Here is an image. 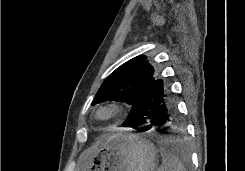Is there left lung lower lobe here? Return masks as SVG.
<instances>
[{"label":"left lung lower lobe","mask_w":245,"mask_h":171,"mask_svg":"<svg viewBox=\"0 0 245 171\" xmlns=\"http://www.w3.org/2000/svg\"><path fill=\"white\" fill-rule=\"evenodd\" d=\"M179 115L176 104L162 79H156L140 94L137 103L123 123L138 132L157 126L164 129L177 125Z\"/></svg>","instance_id":"1"}]
</instances>
